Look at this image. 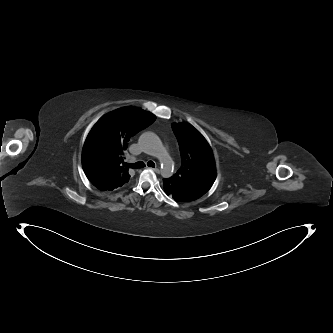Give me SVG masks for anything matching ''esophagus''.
I'll use <instances>...</instances> for the list:
<instances>
[{
    "mask_svg": "<svg viewBox=\"0 0 333 333\" xmlns=\"http://www.w3.org/2000/svg\"><path fill=\"white\" fill-rule=\"evenodd\" d=\"M150 169H152L156 173H160V169L159 168H152V167H150Z\"/></svg>",
    "mask_w": 333,
    "mask_h": 333,
    "instance_id": "esophagus-1",
    "label": "esophagus"
}]
</instances>
